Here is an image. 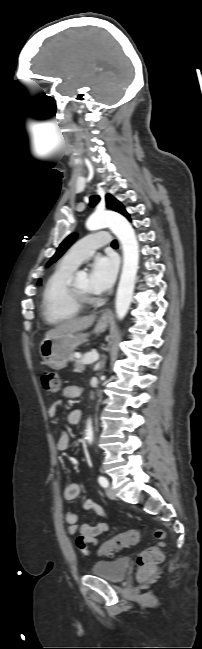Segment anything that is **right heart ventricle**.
Wrapping results in <instances>:
<instances>
[{"instance_id": "e07e8e85", "label": "right heart ventricle", "mask_w": 202, "mask_h": 649, "mask_svg": "<svg viewBox=\"0 0 202 649\" xmlns=\"http://www.w3.org/2000/svg\"><path fill=\"white\" fill-rule=\"evenodd\" d=\"M76 268L60 263L49 276L42 293V312L50 324H59L81 312L69 294V282Z\"/></svg>"}]
</instances>
